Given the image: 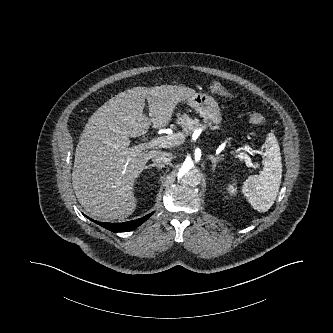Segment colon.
I'll return each instance as SVG.
<instances>
[{"instance_id": "obj_1", "label": "colon", "mask_w": 333, "mask_h": 333, "mask_svg": "<svg viewBox=\"0 0 333 333\" xmlns=\"http://www.w3.org/2000/svg\"><path fill=\"white\" fill-rule=\"evenodd\" d=\"M210 90H211V92H213L217 95L223 96V97L231 96V93L222 84L217 83V82L212 83L210 85ZM248 118L251 123L256 124V125H263V124L267 123L266 118L261 113H258V112L250 113Z\"/></svg>"}]
</instances>
